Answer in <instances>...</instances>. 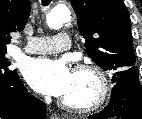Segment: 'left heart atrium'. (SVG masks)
<instances>
[{"instance_id":"obj_1","label":"left heart atrium","mask_w":142,"mask_h":119,"mask_svg":"<svg viewBox=\"0 0 142 119\" xmlns=\"http://www.w3.org/2000/svg\"><path fill=\"white\" fill-rule=\"evenodd\" d=\"M24 76L35 91L63 97L71 86L73 73L64 61L43 58L29 61Z\"/></svg>"}]
</instances>
